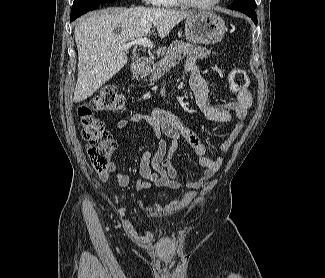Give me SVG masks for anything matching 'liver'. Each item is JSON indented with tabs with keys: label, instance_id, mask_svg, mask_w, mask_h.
Returning <instances> with one entry per match:
<instances>
[{
	"label": "liver",
	"instance_id": "6515ba94",
	"mask_svg": "<svg viewBox=\"0 0 325 278\" xmlns=\"http://www.w3.org/2000/svg\"><path fill=\"white\" fill-rule=\"evenodd\" d=\"M192 12L164 8H110L87 14L76 24L78 79L73 101L79 103L93 95L127 63L126 42L142 38L152 26L160 38ZM115 29H120L115 33Z\"/></svg>",
	"mask_w": 325,
	"mask_h": 278
}]
</instances>
